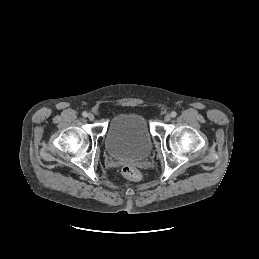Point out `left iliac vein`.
Here are the masks:
<instances>
[{
    "mask_svg": "<svg viewBox=\"0 0 259 259\" xmlns=\"http://www.w3.org/2000/svg\"><path fill=\"white\" fill-rule=\"evenodd\" d=\"M164 120L166 122L170 121L171 120V115L170 114L165 115Z\"/></svg>",
    "mask_w": 259,
    "mask_h": 259,
    "instance_id": "obj_1",
    "label": "left iliac vein"
}]
</instances>
